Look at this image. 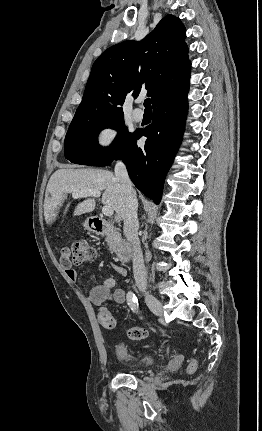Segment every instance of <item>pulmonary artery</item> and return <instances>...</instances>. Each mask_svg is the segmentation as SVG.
<instances>
[{"instance_id":"1","label":"pulmonary artery","mask_w":262,"mask_h":431,"mask_svg":"<svg viewBox=\"0 0 262 431\" xmlns=\"http://www.w3.org/2000/svg\"><path fill=\"white\" fill-rule=\"evenodd\" d=\"M132 115H133L134 120L138 121V122L142 121L144 118V112L140 108L134 109Z\"/></svg>"}]
</instances>
